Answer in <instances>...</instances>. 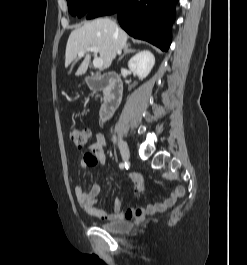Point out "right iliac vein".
I'll return each mask as SVG.
<instances>
[{"instance_id": "right-iliac-vein-1", "label": "right iliac vein", "mask_w": 247, "mask_h": 265, "mask_svg": "<svg viewBox=\"0 0 247 265\" xmlns=\"http://www.w3.org/2000/svg\"><path fill=\"white\" fill-rule=\"evenodd\" d=\"M119 148H120V153H121L122 159L125 162L128 161L130 158V151H129L127 143L125 141H123L122 139H120Z\"/></svg>"}]
</instances>
